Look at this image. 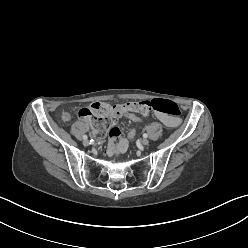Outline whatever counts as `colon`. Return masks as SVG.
I'll list each match as a JSON object with an SVG mask.
<instances>
[{"label": "colon", "instance_id": "obj_1", "mask_svg": "<svg viewBox=\"0 0 248 248\" xmlns=\"http://www.w3.org/2000/svg\"><path fill=\"white\" fill-rule=\"evenodd\" d=\"M127 109L123 112V116L128 118L131 122L139 124L145 123V118L134 115L131 111H136L142 115H149L151 111L162 112L172 117L178 118L180 115V108L174 101L166 99H155L152 101H134L123 104ZM120 109L117 105H110L102 102L89 104L78 111V115L82 119H92V125L95 128L93 136L97 140H102L106 136V131L111 128L112 123L109 120L112 116L118 115ZM139 128L133 125L128 133V139L133 141L138 134Z\"/></svg>", "mask_w": 248, "mask_h": 248}]
</instances>
